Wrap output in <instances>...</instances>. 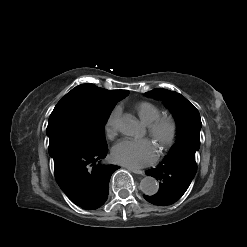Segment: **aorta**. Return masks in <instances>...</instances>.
Returning a JSON list of instances; mask_svg holds the SVG:
<instances>
[{
	"label": "aorta",
	"mask_w": 247,
	"mask_h": 247,
	"mask_svg": "<svg viewBox=\"0 0 247 247\" xmlns=\"http://www.w3.org/2000/svg\"><path fill=\"white\" fill-rule=\"evenodd\" d=\"M118 129L126 136L135 137L140 131V125L133 117L125 116L120 119ZM140 189L144 194L152 196L158 192L159 184L155 178L146 176L140 182Z\"/></svg>",
	"instance_id": "1"
}]
</instances>
